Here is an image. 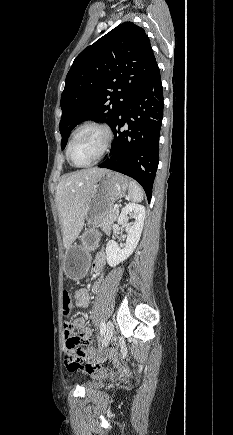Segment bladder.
Instances as JSON below:
<instances>
[{
    "label": "bladder",
    "instance_id": "31cf9c89",
    "mask_svg": "<svg viewBox=\"0 0 233 435\" xmlns=\"http://www.w3.org/2000/svg\"><path fill=\"white\" fill-rule=\"evenodd\" d=\"M92 377H93L95 380H101V379L104 378V376L101 375V374H94ZM96 387H97V383H96V382H92V383H90V384L88 385V388H96Z\"/></svg>",
    "mask_w": 233,
    "mask_h": 435
}]
</instances>
